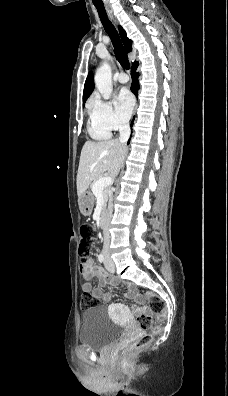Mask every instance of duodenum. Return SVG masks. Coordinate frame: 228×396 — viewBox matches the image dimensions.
I'll use <instances>...</instances> for the list:
<instances>
[{
    "mask_svg": "<svg viewBox=\"0 0 228 396\" xmlns=\"http://www.w3.org/2000/svg\"><path fill=\"white\" fill-rule=\"evenodd\" d=\"M99 226L103 231V234L107 235V227H106V215H105V208L103 207L99 216Z\"/></svg>",
    "mask_w": 228,
    "mask_h": 396,
    "instance_id": "duodenum-1",
    "label": "duodenum"
}]
</instances>
